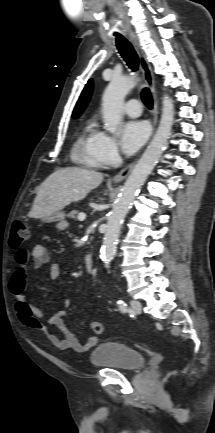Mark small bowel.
<instances>
[{
	"mask_svg": "<svg viewBox=\"0 0 215 433\" xmlns=\"http://www.w3.org/2000/svg\"><path fill=\"white\" fill-rule=\"evenodd\" d=\"M30 258L34 260V264L37 268L50 263V255L46 247L42 244L35 245L31 253L25 249L15 250L14 260L17 264V268L10 277L9 290L15 299V310L20 322L28 328L45 333L51 344L61 351L74 350L79 353L87 352L96 345L98 341L96 336H91L85 342L81 343L64 322L65 312L63 310L48 315L36 308L27 299L25 289L28 275L27 264ZM60 274V265L56 263L51 264L48 273L49 278L56 280L60 277ZM43 320H45V322H43ZM48 325L56 327L63 336L59 337L57 334L50 332Z\"/></svg>",
	"mask_w": 215,
	"mask_h": 433,
	"instance_id": "obj_1",
	"label": "small bowel"
}]
</instances>
